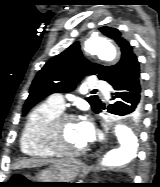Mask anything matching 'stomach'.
<instances>
[{
    "instance_id": "0dacf381",
    "label": "stomach",
    "mask_w": 160,
    "mask_h": 187,
    "mask_svg": "<svg viewBox=\"0 0 160 187\" xmlns=\"http://www.w3.org/2000/svg\"><path fill=\"white\" fill-rule=\"evenodd\" d=\"M81 164L74 159L66 158L56 160L49 168L42 170L33 182H56L36 183L38 187L61 186L72 183L81 170Z\"/></svg>"
}]
</instances>
